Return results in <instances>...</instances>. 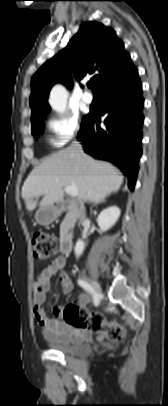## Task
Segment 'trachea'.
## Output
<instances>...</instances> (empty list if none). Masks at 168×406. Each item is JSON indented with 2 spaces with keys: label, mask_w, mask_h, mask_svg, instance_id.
Wrapping results in <instances>:
<instances>
[{
  "label": "trachea",
  "mask_w": 168,
  "mask_h": 406,
  "mask_svg": "<svg viewBox=\"0 0 168 406\" xmlns=\"http://www.w3.org/2000/svg\"><path fill=\"white\" fill-rule=\"evenodd\" d=\"M88 87H89V88H92V84H91V83H88Z\"/></svg>",
  "instance_id": "3493384b"
}]
</instances>
